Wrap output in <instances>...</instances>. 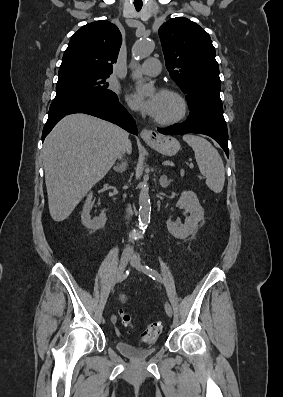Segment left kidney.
<instances>
[{"label": "left kidney", "mask_w": 283, "mask_h": 397, "mask_svg": "<svg viewBox=\"0 0 283 397\" xmlns=\"http://www.w3.org/2000/svg\"><path fill=\"white\" fill-rule=\"evenodd\" d=\"M177 207L190 213L184 224L167 220V229L169 233L178 239H186L188 236L195 234L198 223L204 219V209L199 203L196 194L192 191H183L177 202Z\"/></svg>", "instance_id": "1"}]
</instances>
